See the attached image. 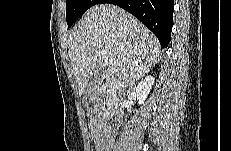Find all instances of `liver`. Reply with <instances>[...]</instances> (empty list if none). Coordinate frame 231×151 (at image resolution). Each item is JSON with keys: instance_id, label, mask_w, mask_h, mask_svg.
<instances>
[{"instance_id": "1", "label": "liver", "mask_w": 231, "mask_h": 151, "mask_svg": "<svg viewBox=\"0 0 231 151\" xmlns=\"http://www.w3.org/2000/svg\"><path fill=\"white\" fill-rule=\"evenodd\" d=\"M115 64H102L101 52ZM158 39L138 19L112 4L90 8L74 27L68 55L82 95L93 71L100 66L103 78L114 88L139 80L159 61Z\"/></svg>"}]
</instances>
